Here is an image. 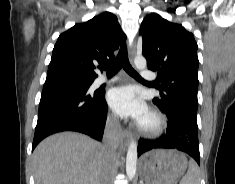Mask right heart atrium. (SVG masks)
Wrapping results in <instances>:
<instances>
[{
	"label": "right heart atrium",
	"mask_w": 235,
	"mask_h": 184,
	"mask_svg": "<svg viewBox=\"0 0 235 184\" xmlns=\"http://www.w3.org/2000/svg\"><path fill=\"white\" fill-rule=\"evenodd\" d=\"M110 127H111V129H112V130H114V131H118V126H117V124H116V123L111 122V123H110Z\"/></svg>",
	"instance_id": "1"
}]
</instances>
